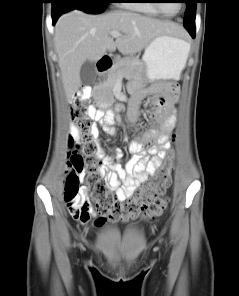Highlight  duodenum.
<instances>
[{
	"label": "duodenum",
	"mask_w": 239,
	"mask_h": 296,
	"mask_svg": "<svg viewBox=\"0 0 239 296\" xmlns=\"http://www.w3.org/2000/svg\"><path fill=\"white\" fill-rule=\"evenodd\" d=\"M113 66V59L110 56H102L96 65L97 71L99 73L106 72Z\"/></svg>",
	"instance_id": "obj_1"
}]
</instances>
